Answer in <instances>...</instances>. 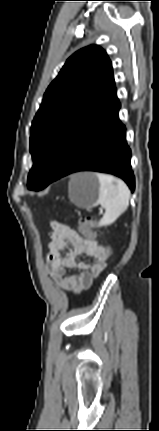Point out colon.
<instances>
[{"label": "colon", "mask_w": 159, "mask_h": 431, "mask_svg": "<svg viewBox=\"0 0 159 431\" xmlns=\"http://www.w3.org/2000/svg\"><path fill=\"white\" fill-rule=\"evenodd\" d=\"M97 221L90 219H78V228L83 233V237H103V229L101 227L96 228ZM98 231V232H96ZM104 253H107L110 258L113 257L114 252L111 249L106 248Z\"/></svg>", "instance_id": "1"}]
</instances>
